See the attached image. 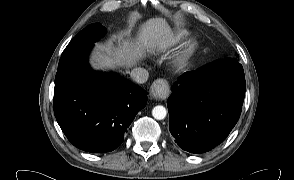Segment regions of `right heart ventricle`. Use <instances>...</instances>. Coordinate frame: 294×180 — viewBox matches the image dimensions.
I'll return each mask as SVG.
<instances>
[{
	"mask_svg": "<svg viewBox=\"0 0 294 180\" xmlns=\"http://www.w3.org/2000/svg\"><path fill=\"white\" fill-rule=\"evenodd\" d=\"M168 48H169V45H166L165 43H160L159 45V49L162 52H165L166 50H168Z\"/></svg>",
	"mask_w": 294,
	"mask_h": 180,
	"instance_id": "obj_1",
	"label": "right heart ventricle"
}]
</instances>
